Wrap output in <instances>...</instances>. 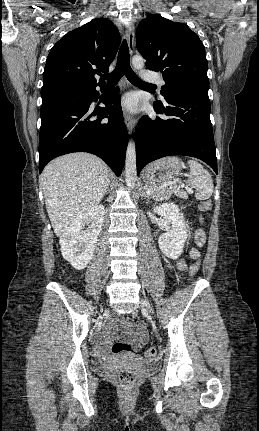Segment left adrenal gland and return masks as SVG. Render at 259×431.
<instances>
[{"instance_id": "a2214340", "label": "left adrenal gland", "mask_w": 259, "mask_h": 431, "mask_svg": "<svg viewBox=\"0 0 259 431\" xmlns=\"http://www.w3.org/2000/svg\"><path fill=\"white\" fill-rule=\"evenodd\" d=\"M141 196L147 198L148 200L151 199V196L146 193L144 188H142Z\"/></svg>"}]
</instances>
